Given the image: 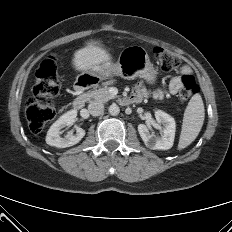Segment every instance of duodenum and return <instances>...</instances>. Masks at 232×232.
Returning <instances> with one entry per match:
<instances>
[{
    "instance_id": "obj_1",
    "label": "duodenum",
    "mask_w": 232,
    "mask_h": 232,
    "mask_svg": "<svg viewBox=\"0 0 232 232\" xmlns=\"http://www.w3.org/2000/svg\"><path fill=\"white\" fill-rule=\"evenodd\" d=\"M96 82H93L91 84H78L76 87H75V98L73 100V107L74 109L76 110H80L84 107L85 105V101H86V92L87 90L92 87ZM141 99L136 97V96H133V95H130V96H127V97H124L122 99H120V103L122 105H131V104H134V103H138L140 102Z\"/></svg>"
}]
</instances>
